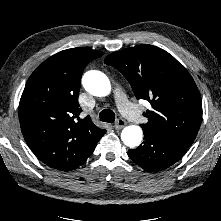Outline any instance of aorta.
Segmentation results:
<instances>
[{"label": "aorta", "instance_id": "762f6f07", "mask_svg": "<svg viewBox=\"0 0 221 221\" xmlns=\"http://www.w3.org/2000/svg\"><path fill=\"white\" fill-rule=\"evenodd\" d=\"M82 84L87 92L98 97L107 96L111 91L110 80L104 73L97 70L87 71L83 75ZM142 137L143 131L137 125H129L121 132V140L130 148L139 146Z\"/></svg>", "mask_w": 221, "mask_h": 221}]
</instances>
